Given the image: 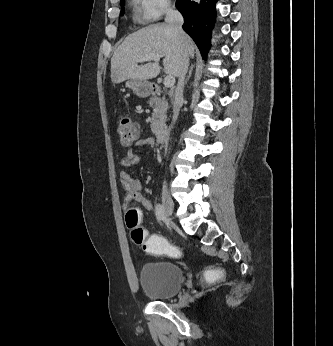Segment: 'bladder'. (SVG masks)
I'll list each match as a JSON object with an SVG mask.
<instances>
[{
    "label": "bladder",
    "mask_w": 333,
    "mask_h": 346,
    "mask_svg": "<svg viewBox=\"0 0 333 346\" xmlns=\"http://www.w3.org/2000/svg\"><path fill=\"white\" fill-rule=\"evenodd\" d=\"M140 286L148 297L161 301L174 296L183 284V271L173 263H156L142 267Z\"/></svg>",
    "instance_id": "31cf9c89"
}]
</instances>
